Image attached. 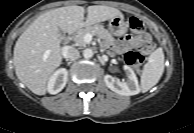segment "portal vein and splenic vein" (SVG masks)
I'll use <instances>...</instances> for the list:
<instances>
[{
	"instance_id": "portal-vein-and-splenic-vein-1",
	"label": "portal vein and splenic vein",
	"mask_w": 194,
	"mask_h": 133,
	"mask_svg": "<svg viewBox=\"0 0 194 133\" xmlns=\"http://www.w3.org/2000/svg\"><path fill=\"white\" fill-rule=\"evenodd\" d=\"M92 40V35L91 34H86L85 37H84V41L86 43H90ZM50 51H46V56L49 55Z\"/></svg>"
}]
</instances>
